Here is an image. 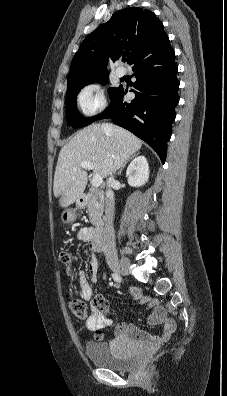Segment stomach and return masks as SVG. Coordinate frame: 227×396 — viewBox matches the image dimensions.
Returning a JSON list of instances; mask_svg holds the SVG:
<instances>
[{
  "label": "stomach",
  "mask_w": 227,
  "mask_h": 396,
  "mask_svg": "<svg viewBox=\"0 0 227 396\" xmlns=\"http://www.w3.org/2000/svg\"><path fill=\"white\" fill-rule=\"evenodd\" d=\"M77 207H81V203L79 202V200L76 203ZM76 219V210L75 209H67L65 211H63V213L61 214V221L64 224H69L74 222Z\"/></svg>",
  "instance_id": "1"
}]
</instances>
